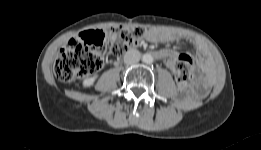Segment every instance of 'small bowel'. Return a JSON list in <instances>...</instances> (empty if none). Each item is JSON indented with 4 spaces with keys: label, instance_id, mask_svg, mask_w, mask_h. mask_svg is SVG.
Here are the masks:
<instances>
[{
    "label": "small bowel",
    "instance_id": "obj_1",
    "mask_svg": "<svg viewBox=\"0 0 261 150\" xmlns=\"http://www.w3.org/2000/svg\"><path fill=\"white\" fill-rule=\"evenodd\" d=\"M146 39L153 43H171V42H177L183 39V36L171 32V31H165V30H159V29H150L146 33ZM194 48L196 51L197 56L202 60V64L205 70H209V61L206 57V50L204 46L194 41ZM175 56V53L170 50H160L156 52V57L159 59L164 60L165 64L167 59L172 58Z\"/></svg>",
    "mask_w": 261,
    "mask_h": 150
}]
</instances>
